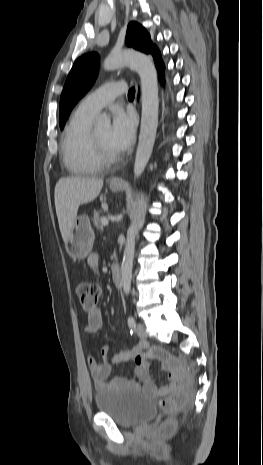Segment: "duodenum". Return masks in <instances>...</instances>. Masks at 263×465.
Here are the masks:
<instances>
[{"label": "duodenum", "instance_id": "410a0bca", "mask_svg": "<svg viewBox=\"0 0 263 465\" xmlns=\"http://www.w3.org/2000/svg\"><path fill=\"white\" fill-rule=\"evenodd\" d=\"M112 280L115 286H119L121 283V271L117 265L112 267Z\"/></svg>", "mask_w": 263, "mask_h": 465}]
</instances>
